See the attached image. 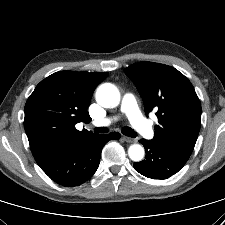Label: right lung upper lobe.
Wrapping results in <instances>:
<instances>
[{"label": "right lung upper lobe", "mask_w": 225, "mask_h": 225, "mask_svg": "<svg viewBox=\"0 0 225 225\" xmlns=\"http://www.w3.org/2000/svg\"><path fill=\"white\" fill-rule=\"evenodd\" d=\"M107 72H56L35 88L25 105L24 127L35 160L57 145L94 135L75 124L89 123L87 112L96 86Z\"/></svg>", "instance_id": "right-lung-upper-lobe-1"}]
</instances>
